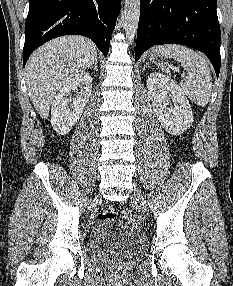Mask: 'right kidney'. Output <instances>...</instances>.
<instances>
[{"label": "right kidney", "instance_id": "1", "mask_svg": "<svg viewBox=\"0 0 233 286\" xmlns=\"http://www.w3.org/2000/svg\"><path fill=\"white\" fill-rule=\"evenodd\" d=\"M92 88L89 73L82 72L65 83L55 97L51 108V125L61 135L68 133L83 113ZM76 97H72V93Z\"/></svg>", "mask_w": 233, "mask_h": 286}]
</instances>
